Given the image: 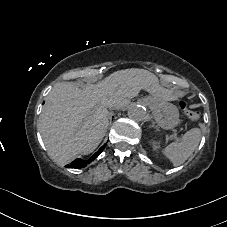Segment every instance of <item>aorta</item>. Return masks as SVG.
I'll list each match as a JSON object with an SVG mask.
<instances>
[{"label": "aorta", "mask_w": 227, "mask_h": 227, "mask_svg": "<svg viewBox=\"0 0 227 227\" xmlns=\"http://www.w3.org/2000/svg\"><path fill=\"white\" fill-rule=\"evenodd\" d=\"M128 116L134 121H143L147 118L146 108L141 105H132L128 109Z\"/></svg>", "instance_id": "obj_1"}]
</instances>
